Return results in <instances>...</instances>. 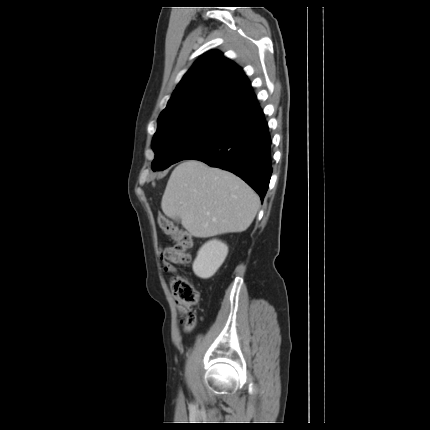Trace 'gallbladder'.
<instances>
[{"instance_id":"1","label":"gallbladder","mask_w":430,"mask_h":430,"mask_svg":"<svg viewBox=\"0 0 430 430\" xmlns=\"http://www.w3.org/2000/svg\"><path fill=\"white\" fill-rule=\"evenodd\" d=\"M174 220H175V222H177V223H179V222H180V219H179V218H175Z\"/></svg>"}]
</instances>
